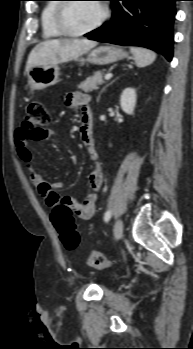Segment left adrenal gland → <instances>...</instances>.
Masks as SVG:
<instances>
[{
  "label": "left adrenal gland",
  "instance_id": "obj_1",
  "mask_svg": "<svg viewBox=\"0 0 193 349\" xmlns=\"http://www.w3.org/2000/svg\"><path fill=\"white\" fill-rule=\"evenodd\" d=\"M108 86V85H107ZM106 86V87H107ZM106 87L105 88H103V90L101 91V93L103 92V91H105V89H106ZM100 99V95H99V97H98V100Z\"/></svg>",
  "mask_w": 193,
  "mask_h": 349
}]
</instances>
